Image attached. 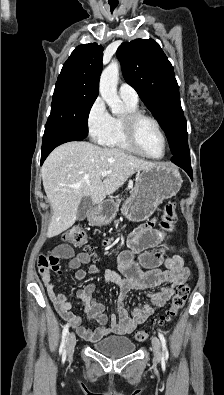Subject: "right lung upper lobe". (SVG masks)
<instances>
[{
    "label": "right lung upper lobe",
    "instance_id": "cb5924a9",
    "mask_svg": "<svg viewBox=\"0 0 224 395\" xmlns=\"http://www.w3.org/2000/svg\"><path fill=\"white\" fill-rule=\"evenodd\" d=\"M103 47L97 43L76 47L64 63L57 83L99 93Z\"/></svg>",
    "mask_w": 224,
    "mask_h": 395
}]
</instances>
